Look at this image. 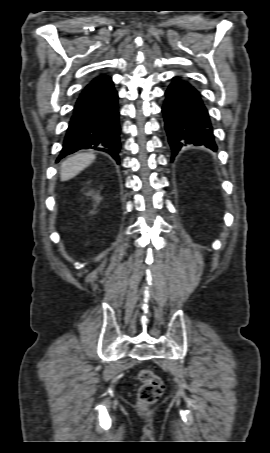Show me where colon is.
<instances>
[{"label":"colon","mask_w":270,"mask_h":453,"mask_svg":"<svg viewBox=\"0 0 270 453\" xmlns=\"http://www.w3.org/2000/svg\"><path fill=\"white\" fill-rule=\"evenodd\" d=\"M141 386L138 390L137 404L140 409H147L153 405L164 391V383L150 369H142L138 374Z\"/></svg>","instance_id":"1"}]
</instances>
